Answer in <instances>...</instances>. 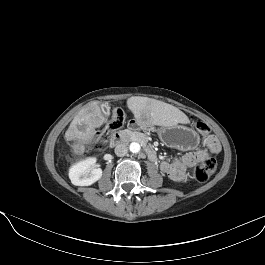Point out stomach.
<instances>
[{"label": "stomach", "mask_w": 265, "mask_h": 265, "mask_svg": "<svg viewBox=\"0 0 265 265\" xmlns=\"http://www.w3.org/2000/svg\"><path fill=\"white\" fill-rule=\"evenodd\" d=\"M139 125L145 130L156 131L161 141L170 147L191 150L199 144L198 134L193 129L182 125L162 126L158 129L154 125H147L142 121L139 122Z\"/></svg>", "instance_id": "0dacf381"}]
</instances>
